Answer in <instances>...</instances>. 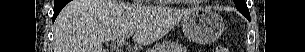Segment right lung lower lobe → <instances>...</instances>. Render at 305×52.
Instances as JSON below:
<instances>
[{
  "instance_id": "right-lung-lower-lobe-1",
  "label": "right lung lower lobe",
  "mask_w": 305,
  "mask_h": 52,
  "mask_svg": "<svg viewBox=\"0 0 305 52\" xmlns=\"http://www.w3.org/2000/svg\"><path fill=\"white\" fill-rule=\"evenodd\" d=\"M69 2V0H55L54 2V15L53 21L56 19L57 15L61 11V9Z\"/></svg>"
}]
</instances>
